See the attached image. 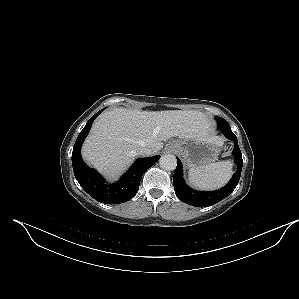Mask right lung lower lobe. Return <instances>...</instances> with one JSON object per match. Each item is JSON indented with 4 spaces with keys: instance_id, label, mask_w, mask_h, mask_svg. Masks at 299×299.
I'll use <instances>...</instances> for the list:
<instances>
[{
    "instance_id": "1",
    "label": "right lung lower lobe",
    "mask_w": 299,
    "mask_h": 299,
    "mask_svg": "<svg viewBox=\"0 0 299 299\" xmlns=\"http://www.w3.org/2000/svg\"><path fill=\"white\" fill-rule=\"evenodd\" d=\"M102 111L103 109L92 116L80 132L73 147L72 165L78 183L88 194L105 204H119L134 197L142 175L158 161L160 156L136 160L119 181L112 185H105L100 174L85 165L80 153L82 143L90 131L93 121Z\"/></svg>"
}]
</instances>
